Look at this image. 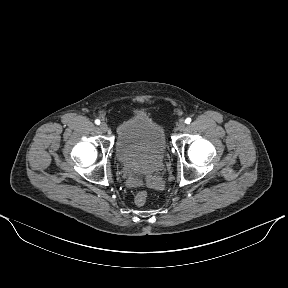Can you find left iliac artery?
I'll list each match as a JSON object with an SVG mask.
<instances>
[{"label": "left iliac artery", "instance_id": "obj_1", "mask_svg": "<svg viewBox=\"0 0 288 288\" xmlns=\"http://www.w3.org/2000/svg\"><path fill=\"white\" fill-rule=\"evenodd\" d=\"M191 121H192L191 118L188 117V118H186L185 123L190 124Z\"/></svg>", "mask_w": 288, "mask_h": 288}]
</instances>
